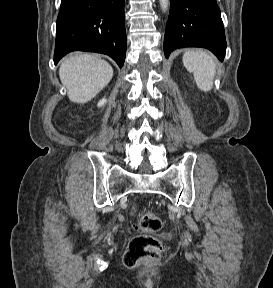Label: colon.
<instances>
[{"mask_svg":"<svg viewBox=\"0 0 273 288\" xmlns=\"http://www.w3.org/2000/svg\"><path fill=\"white\" fill-rule=\"evenodd\" d=\"M138 228L144 232L133 236L123 255V262L127 267H134L140 260H156L162 252L161 241L149 233L161 228V220L151 211L138 214Z\"/></svg>","mask_w":273,"mask_h":288,"instance_id":"1","label":"colon"}]
</instances>
